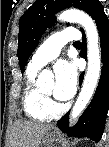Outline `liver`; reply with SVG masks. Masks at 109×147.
<instances>
[{"label": "liver", "instance_id": "1", "mask_svg": "<svg viewBox=\"0 0 109 147\" xmlns=\"http://www.w3.org/2000/svg\"><path fill=\"white\" fill-rule=\"evenodd\" d=\"M52 128L51 124L17 120L12 128L8 147H40L44 136Z\"/></svg>", "mask_w": 109, "mask_h": 147}]
</instances>
